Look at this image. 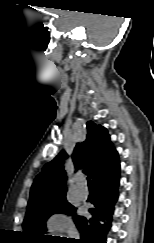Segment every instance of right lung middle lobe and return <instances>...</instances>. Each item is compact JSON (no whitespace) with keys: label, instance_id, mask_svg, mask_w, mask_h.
<instances>
[{"label":"right lung middle lobe","instance_id":"obj_1","mask_svg":"<svg viewBox=\"0 0 154 243\" xmlns=\"http://www.w3.org/2000/svg\"><path fill=\"white\" fill-rule=\"evenodd\" d=\"M54 213L71 215L75 213V208L66 197L28 208L23 222L25 237L50 239V236H44L40 232L46 231V220Z\"/></svg>","mask_w":154,"mask_h":243}]
</instances>
